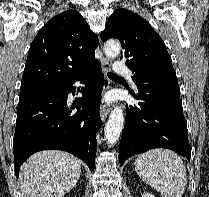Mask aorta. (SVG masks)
Instances as JSON below:
<instances>
[{"label":"aorta","mask_w":209,"mask_h":197,"mask_svg":"<svg viewBox=\"0 0 209 197\" xmlns=\"http://www.w3.org/2000/svg\"><path fill=\"white\" fill-rule=\"evenodd\" d=\"M121 45L116 40H108L104 44V52L107 57L115 58L119 55ZM124 126V114L121 106H115L105 126V138L108 144L113 145L120 137Z\"/></svg>","instance_id":"obj_1"}]
</instances>
